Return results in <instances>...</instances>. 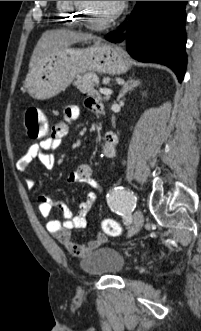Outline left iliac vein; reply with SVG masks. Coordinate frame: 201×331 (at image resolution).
<instances>
[{"mask_svg": "<svg viewBox=\"0 0 201 331\" xmlns=\"http://www.w3.org/2000/svg\"><path fill=\"white\" fill-rule=\"evenodd\" d=\"M144 222V217L141 210H136L133 214V223L128 231V237L135 235L140 228L142 227Z\"/></svg>", "mask_w": 201, "mask_h": 331, "instance_id": "4c4485c4", "label": "left iliac vein"}]
</instances>
